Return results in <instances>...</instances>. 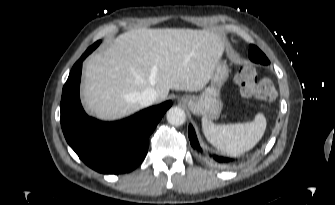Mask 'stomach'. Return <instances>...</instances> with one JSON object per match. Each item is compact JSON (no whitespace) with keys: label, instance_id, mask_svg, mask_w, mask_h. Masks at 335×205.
<instances>
[{"label":"stomach","instance_id":"1","mask_svg":"<svg viewBox=\"0 0 335 205\" xmlns=\"http://www.w3.org/2000/svg\"><path fill=\"white\" fill-rule=\"evenodd\" d=\"M229 72L227 62L219 61L212 73L210 85L200 95H186L181 97L180 101L196 115H202L209 120L218 118L223 106L221 88L227 81Z\"/></svg>","mask_w":335,"mask_h":205}]
</instances>
